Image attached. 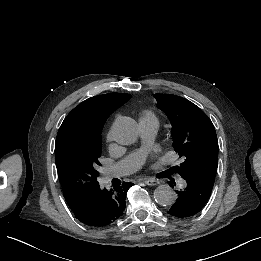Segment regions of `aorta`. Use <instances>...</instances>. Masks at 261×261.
<instances>
[{"label":"aorta","mask_w":261,"mask_h":261,"mask_svg":"<svg viewBox=\"0 0 261 261\" xmlns=\"http://www.w3.org/2000/svg\"><path fill=\"white\" fill-rule=\"evenodd\" d=\"M112 132L114 140L121 145H130L138 138L137 124L130 117L117 119ZM154 199L161 206H171L175 203L177 195L169 185L162 184L154 190Z\"/></svg>","instance_id":"762f6f07"}]
</instances>
